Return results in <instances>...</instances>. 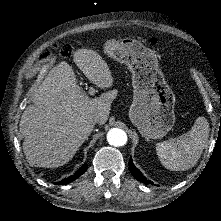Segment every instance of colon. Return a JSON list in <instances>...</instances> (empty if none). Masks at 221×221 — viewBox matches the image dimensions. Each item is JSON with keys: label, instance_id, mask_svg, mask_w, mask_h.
<instances>
[{"label": "colon", "instance_id": "obj_1", "mask_svg": "<svg viewBox=\"0 0 221 221\" xmlns=\"http://www.w3.org/2000/svg\"><path fill=\"white\" fill-rule=\"evenodd\" d=\"M152 44H155V42L152 41ZM56 53L64 58L70 57L72 54V46L68 43L65 44L54 43L50 47L44 49L40 53L38 58L40 61H45L53 57Z\"/></svg>", "mask_w": 221, "mask_h": 221}]
</instances>
